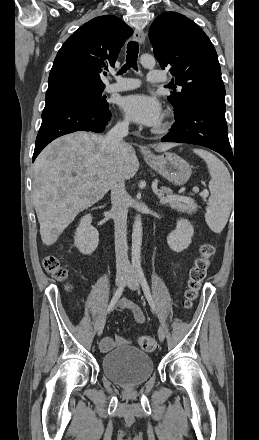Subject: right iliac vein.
Wrapping results in <instances>:
<instances>
[{"instance_id":"1","label":"right iliac vein","mask_w":259,"mask_h":440,"mask_svg":"<svg viewBox=\"0 0 259 440\" xmlns=\"http://www.w3.org/2000/svg\"><path fill=\"white\" fill-rule=\"evenodd\" d=\"M126 271L124 269H121L117 272L116 275V286H120L123 282L124 276H125ZM105 322H106V317L104 316L98 326V330L97 333L100 336L104 330V326H105Z\"/></svg>"}]
</instances>
